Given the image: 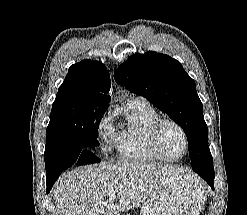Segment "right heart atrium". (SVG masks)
Masks as SVG:
<instances>
[{
	"mask_svg": "<svg viewBox=\"0 0 247 215\" xmlns=\"http://www.w3.org/2000/svg\"><path fill=\"white\" fill-rule=\"evenodd\" d=\"M98 136L105 142H110L114 136L115 128L113 124V116L111 113H104L97 124Z\"/></svg>",
	"mask_w": 247,
	"mask_h": 215,
	"instance_id": "obj_1",
	"label": "right heart atrium"
}]
</instances>
